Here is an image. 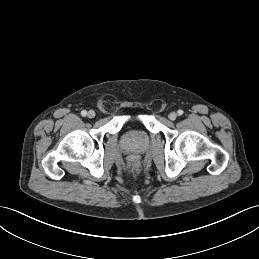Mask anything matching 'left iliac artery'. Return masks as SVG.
Segmentation results:
<instances>
[{
    "instance_id": "1",
    "label": "left iliac artery",
    "mask_w": 259,
    "mask_h": 259,
    "mask_svg": "<svg viewBox=\"0 0 259 259\" xmlns=\"http://www.w3.org/2000/svg\"><path fill=\"white\" fill-rule=\"evenodd\" d=\"M177 113L179 116H181L183 114V110H178Z\"/></svg>"
}]
</instances>
